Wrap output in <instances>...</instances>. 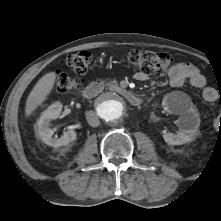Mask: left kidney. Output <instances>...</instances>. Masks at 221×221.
Here are the masks:
<instances>
[{"instance_id":"1","label":"left kidney","mask_w":221,"mask_h":221,"mask_svg":"<svg viewBox=\"0 0 221 221\" xmlns=\"http://www.w3.org/2000/svg\"><path fill=\"white\" fill-rule=\"evenodd\" d=\"M162 105L172 114L179 115V130L176 134L164 133L165 142L169 145H182L191 141L199 128L200 118L190 97L184 92L174 91L164 96Z\"/></svg>"}]
</instances>
